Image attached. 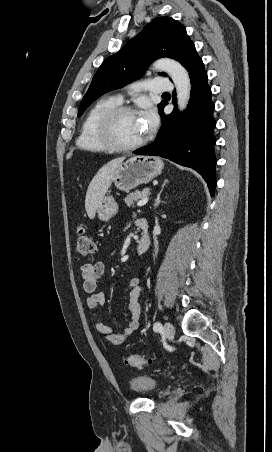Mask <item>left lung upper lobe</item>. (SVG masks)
I'll return each instance as SVG.
<instances>
[{"instance_id":"obj_1","label":"left lung upper lobe","mask_w":272,"mask_h":452,"mask_svg":"<svg viewBox=\"0 0 272 452\" xmlns=\"http://www.w3.org/2000/svg\"><path fill=\"white\" fill-rule=\"evenodd\" d=\"M193 46L181 23L170 17L154 19L119 52L104 60L81 101L78 117L104 93L140 77L155 59L169 57L182 64ZM163 104H159V110Z\"/></svg>"}]
</instances>
